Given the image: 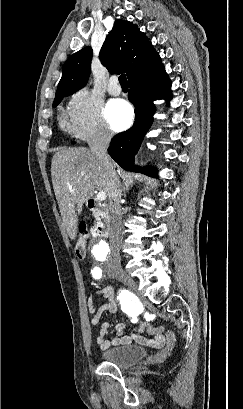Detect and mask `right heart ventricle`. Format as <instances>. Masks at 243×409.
I'll use <instances>...</instances> for the list:
<instances>
[{
    "label": "right heart ventricle",
    "instance_id": "1",
    "mask_svg": "<svg viewBox=\"0 0 243 409\" xmlns=\"http://www.w3.org/2000/svg\"><path fill=\"white\" fill-rule=\"evenodd\" d=\"M62 124L65 126L66 125V122H65V119L64 118H62Z\"/></svg>",
    "mask_w": 243,
    "mask_h": 409
}]
</instances>
